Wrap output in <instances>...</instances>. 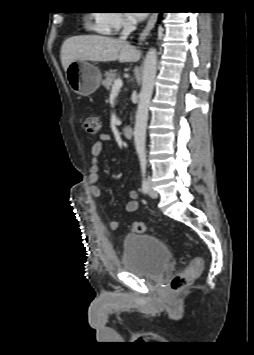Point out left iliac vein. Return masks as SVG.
Returning a JSON list of instances; mask_svg holds the SVG:
<instances>
[{"label":"left iliac vein","instance_id":"obj_1","mask_svg":"<svg viewBox=\"0 0 254 355\" xmlns=\"http://www.w3.org/2000/svg\"><path fill=\"white\" fill-rule=\"evenodd\" d=\"M148 185H149V189H148L149 196L153 199L158 198V193L153 189V184L150 178L148 179Z\"/></svg>","mask_w":254,"mask_h":355}]
</instances>
